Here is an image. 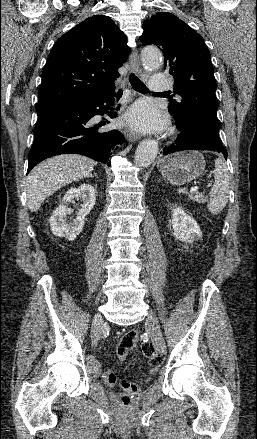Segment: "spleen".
<instances>
[{"label": "spleen", "mask_w": 257, "mask_h": 439, "mask_svg": "<svg viewBox=\"0 0 257 439\" xmlns=\"http://www.w3.org/2000/svg\"><path fill=\"white\" fill-rule=\"evenodd\" d=\"M214 180L207 207L211 214L217 215L227 204L230 184V175L226 163L220 158L215 161Z\"/></svg>", "instance_id": "spleen-1"}]
</instances>
